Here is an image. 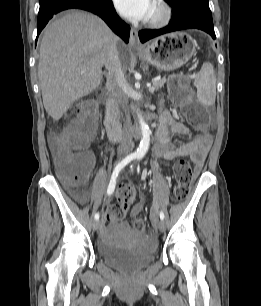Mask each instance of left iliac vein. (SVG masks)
<instances>
[{
	"label": "left iliac vein",
	"mask_w": 261,
	"mask_h": 306,
	"mask_svg": "<svg viewBox=\"0 0 261 306\" xmlns=\"http://www.w3.org/2000/svg\"><path fill=\"white\" fill-rule=\"evenodd\" d=\"M155 225L156 227L160 230V231H164L165 230V223L163 220H156L155 221Z\"/></svg>",
	"instance_id": "left-iliac-vein-1"
}]
</instances>
